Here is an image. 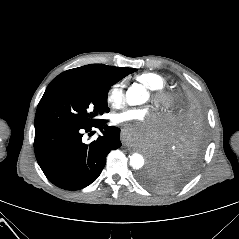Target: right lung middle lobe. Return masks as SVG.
I'll return each mask as SVG.
<instances>
[{
  "label": "right lung middle lobe",
  "instance_id": "dd1d6c3e",
  "mask_svg": "<svg viewBox=\"0 0 239 239\" xmlns=\"http://www.w3.org/2000/svg\"><path fill=\"white\" fill-rule=\"evenodd\" d=\"M119 79L66 80L50 83L42 96L35 115V126H91L109 112L107 93Z\"/></svg>",
  "mask_w": 239,
  "mask_h": 239
}]
</instances>
